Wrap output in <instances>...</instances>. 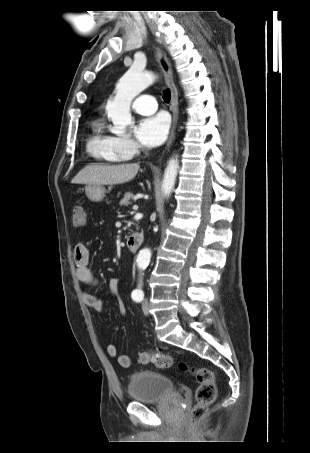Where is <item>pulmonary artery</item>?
Segmentation results:
<instances>
[{"instance_id": "e3ab8cb5", "label": "pulmonary artery", "mask_w": 310, "mask_h": 453, "mask_svg": "<svg viewBox=\"0 0 310 453\" xmlns=\"http://www.w3.org/2000/svg\"><path fill=\"white\" fill-rule=\"evenodd\" d=\"M132 107L139 114L149 115L156 111L157 102L151 95H140L134 99Z\"/></svg>"}]
</instances>
